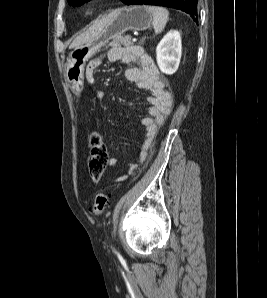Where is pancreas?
<instances>
[{"mask_svg":"<svg viewBox=\"0 0 267 298\" xmlns=\"http://www.w3.org/2000/svg\"><path fill=\"white\" fill-rule=\"evenodd\" d=\"M133 44L131 36H117L113 39L111 45H123L129 47Z\"/></svg>","mask_w":267,"mask_h":298,"instance_id":"pancreas-1","label":"pancreas"}]
</instances>
